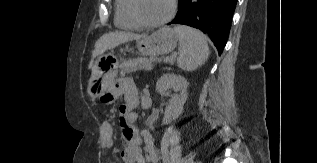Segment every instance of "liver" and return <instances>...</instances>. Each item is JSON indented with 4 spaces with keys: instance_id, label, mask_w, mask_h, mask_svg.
I'll list each match as a JSON object with an SVG mask.
<instances>
[{
    "instance_id": "liver-1",
    "label": "liver",
    "mask_w": 317,
    "mask_h": 163,
    "mask_svg": "<svg viewBox=\"0 0 317 163\" xmlns=\"http://www.w3.org/2000/svg\"><path fill=\"white\" fill-rule=\"evenodd\" d=\"M141 38H143L142 35L121 31L109 32L102 35L95 43L94 50L92 51V59L88 66L89 69H93L94 59L107 50L118 47L128 41L139 40Z\"/></svg>"
}]
</instances>
